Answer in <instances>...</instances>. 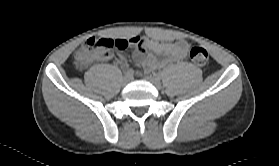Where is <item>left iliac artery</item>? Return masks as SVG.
Here are the masks:
<instances>
[{
  "mask_svg": "<svg viewBox=\"0 0 279 166\" xmlns=\"http://www.w3.org/2000/svg\"><path fill=\"white\" fill-rule=\"evenodd\" d=\"M155 76H158L160 78L161 74H156Z\"/></svg>",
  "mask_w": 279,
  "mask_h": 166,
  "instance_id": "left-iliac-artery-1",
  "label": "left iliac artery"
}]
</instances>
